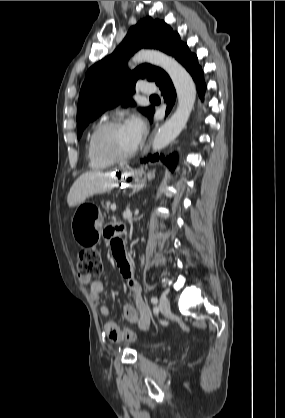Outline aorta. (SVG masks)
<instances>
[{
	"label": "aorta",
	"mask_w": 285,
	"mask_h": 418,
	"mask_svg": "<svg viewBox=\"0 0 285 418\" xmlns=\"http://www.w3.org/2000/svg\"><path fill=\"white\" fill-rule=\"evenodd\" d=\"M146 61L164 69L175 87L178 106L175 113L158 130L152 149L159 151L170 144L186 126L194 107L196 88L190 74L174 58L156 50H143L133 57V62Z\"/></svg>",
	"instance_id": "1"
}]
</instances>
